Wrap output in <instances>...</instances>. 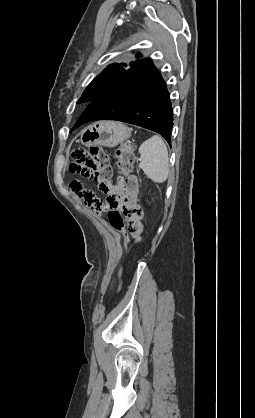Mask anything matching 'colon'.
I'll use <instances>...</instances> for the list:
<instances>
[{
  "instance_id": "obj_1",
  "label": "colon",
  "mask_w": 255,
  "mask_h": 418,
  "mask_svg": "<svg viewBox=\"0 0 255 418\" xmlns=\"http://www.w3.org/2000/svg\"><path fill=\"white\" fill-rule=\"evenodd\" d=\"M73 163L71 170L79 173L90 181L96 183L99 189L108 194L105 202L100 201L93 192L82 188L77 181L71 183L72 190L83 198L85 203L97 212L107 211L111 225L117 230L124 228H143V211L139 205H134L126 211L127 219H124L119 210L121 202L120 195L112 189V173L108 164V159L99 147H92L89 150L82 148L75 149L72 152ZM117 166L121 174L128 175L134 162L132 147L127 144H121L116 150ZM123 251H129L131 242L128 234L124 235ZM129 254L127 253H123ZM122 269L119 274L121 276ZM121 288V284H120Z\"/></svg>"
}]
</instances>
